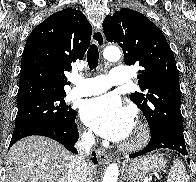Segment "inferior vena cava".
<instances>
[{"instance_id":"inferior-vena-cava-1","label":"inferior vena cava","mask_w":196,"mask_h":182,"mask_svg":"<svg viewBox=\"0 0 196 182\" xmlns=\"http://www.w3.org/2000/svg\"><path fill=\"white\" fill-rule=\"evenodd\" d=\"M95 138L91 132L84 133L75 144L78 155L74 156L69 164L68 182H88L86 157L91 153Z\"/></svg>"}]
</instances>
